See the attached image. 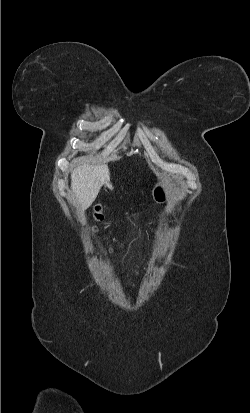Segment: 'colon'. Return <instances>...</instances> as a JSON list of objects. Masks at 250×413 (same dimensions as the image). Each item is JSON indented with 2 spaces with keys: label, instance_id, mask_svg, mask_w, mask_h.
<instances>
[{
  "label": "colon",
  "instance_id": "obj_1",
  "mask_svg": "<svg viewBox=\"0 0 250 413\" xmlns=\"http://www.w3.org/2000/svg\"><path fill=\"white\" fill-rule=\"evenodd\" d=\"M94 217H95V219H96L97 221H100V220L103 219V214H102V209H101V207H99V206L95 207Z\"/></svg>",
  "mask_w": 250,
  "mask_h": 413
}]
</instances>
